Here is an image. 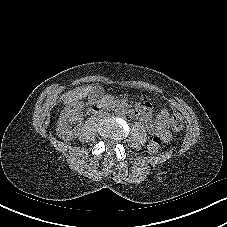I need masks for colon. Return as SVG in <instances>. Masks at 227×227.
Segmentation results:
<instances>
[{"label": "colon", "mask_w": 227, "mask_h": 227, "mask_svg": "<svg viewBox=\"0 0 227 227\" xmlns=\"http://www.w3.org/2000/svg\"><path fill=\"white\" fill-rule=\"evenodd\" d=\"M171 127L175 131L183 128V118L180 114L174 113L171 117ZM163 139L160 136H154L147 144L146 150L149 154H156L162 147Z\"/></svg>", "instance_id": "5ec220e1"}]
</instances>
